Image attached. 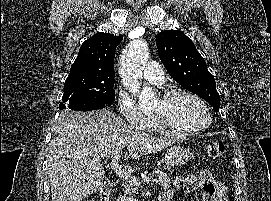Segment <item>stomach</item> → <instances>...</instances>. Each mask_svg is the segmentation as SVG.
I'll return each mask as SVG.
<instances>
[{
    "instance_id": "obj_1",
    "label": "stomach",
    "mask_w": 271,
    "mask_h": 201,
    "mask_svg": "<svg viewBox=\"0 0 271 201\" xmlns=\"http://www.w3.org/2000/svg\"><path fill=\"white\" fill-rule=\"evenodd\" d=\"M194 157V153L184 146H173L164 155L165 164L168 167H176L186 164Z\"/></svg>"
}]
</instances>
